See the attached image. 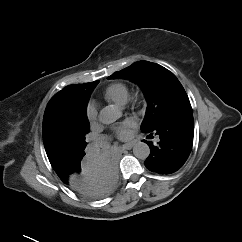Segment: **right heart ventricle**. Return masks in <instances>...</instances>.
Returning a JSON list of instances; mask_svg holds the SVG:
<instances>
[{"mask_svg": "<svg viewBox=\"0 0 242 242\" xmlns=\"http://www.w3.org/2000/svg\"><path fill=\"white\" fill-rule=\"evenodd\" d=\"M104 98L109 102L123 106L129 99V88L123 82L112 83L105 89Z\"/></svg>", "mask_w": 242, "mask_h": 242, "instance_id": "e07e8e85", "label": "right heart ventricle"}]
</instances>
